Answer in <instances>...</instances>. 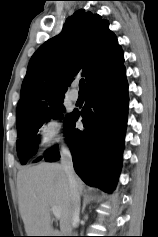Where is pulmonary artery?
<instances>
[{"label": "pulmonary artery", "instance_id": "e3ab8cb5", "mask_svg": "<svg viewBox=\"0 0 158 237\" xmlns=\"http://www.w3.org/2000/svg\"><path fill=\"white\" fill-rule=\"evenodd\" d=\"M69 98L71 101L76 102L79 99V94L77 91H71L69 94Z\"/></svg>", "mask_w": 158, "mask_h": 237}]
</instances>
